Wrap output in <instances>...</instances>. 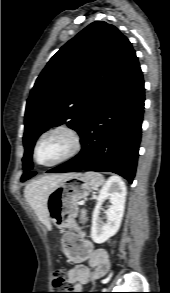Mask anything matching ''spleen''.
<instances>
[{"label":"spleen","mask_w":170,"mask_h":293,"mask_svg":"<svg viewBox=\"0 0 170 293\" xmlns=\"http://www.w3.org/2000/svg\"><path fill=\"white\" fill-rule=\"evenodd\" d=\"M84 177L92 188H98L105 183V179L102 174L97 172H86Z\"/></svg>","instance_id":"1"}]
</instances>
